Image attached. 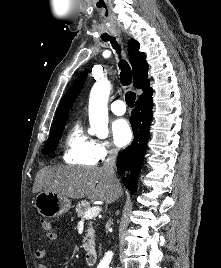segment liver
Here are the masks:
<instances>
[{
    "instance_id": "liver-1",
    "label": "liver",
    "mask_w": 221,
    "mask_h": 268,
    "mask_svg": "<svg viewBox=\"0 0 221 268\" xmlns=\"http://www.w3.org/2000/svg\"><path fill=\"white\" fill-rule=\"evenodd\" d=\"M49 191L64 197L112 203L122 192L119 180L113 179L103 167L47 166L38 171L33 193Z\"/></svg>"
}]
</instances>
